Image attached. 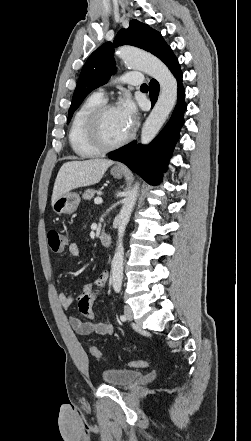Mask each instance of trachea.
I'll return each instance as SVG.
<instances>
[{
	"instance_id": "obj_1",
	"label": "trachea",
	"mask_w": 251,
	"mask_h": 441,
	"mask_svg": "<svg viewBox=\"0 0 251 441\" xmlns=\"http://www.w3.org/2000/svg\"><path fill=\"white\" fill-rule=\"evenodd\" d=\"M141 88H148V86H147V84L144 83L141 85Z\"/></svg>"
}]
</instances>
